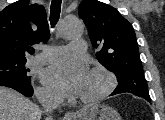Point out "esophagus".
I'll return each instance as SVG.
<instances>
[{
	"instance_id": "1",
	"label": "esophagus",
	"mask_w": 165,
	"mask_h": 120,
	"mask_svg": "<svg viewBox=\"0 0 165 120\" xmlns=\"http://www.w3.org/2000/svg\"><path fill=\"white\" fill-rule=\"evenodd\" d=\"M73 119V114L72 113H67L64 116V120H72Z\"/></svg>"
}]
</instances>
